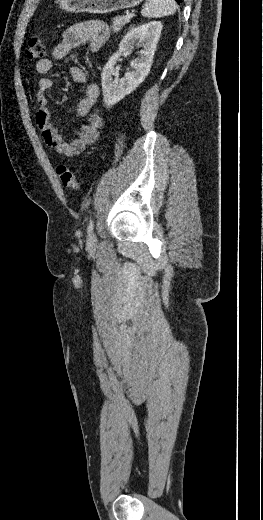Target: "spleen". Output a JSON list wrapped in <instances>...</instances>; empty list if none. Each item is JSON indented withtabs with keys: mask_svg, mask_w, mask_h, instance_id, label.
Returning <instances> with one entry per match:
<instances>
[{
	"mask_svg": "<svg viewBox=\"0 0 263 520\" xmlns=\"http://www.w3.org/2000/svg\"><path fill=\"white\" fill-rule=\"evenodd\" d=\"M141 14L147 18H158L173 15L177 9L175 0H147Z\"/></svg>",
	"mask_w": 263,
	"mask_h": 520,
	"instance_id": "spleen-1",
	"label": "spleen"
}]
</instances>
